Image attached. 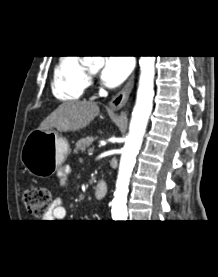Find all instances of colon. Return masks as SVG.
Returning a JSON list of instances; mask_svg holds the SVG:
<instances>
[{
	"instance_id": "colon-1",
	"label": "colon",
	"mask_w": 218,
	"mask_h": 277,
	"mask_svg": "<svg viewBox=\"0 0 218 277\" xmlns=\"http://www.w3.org/2000/svg\"><path fill=\"white\" fill-rule=\"evenodd\" d=\"M52 203V192L44 186H31L24 191V204L29 214L43 216Z\"/></svg>"
}]
</instances>
